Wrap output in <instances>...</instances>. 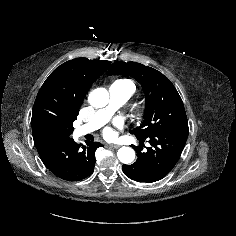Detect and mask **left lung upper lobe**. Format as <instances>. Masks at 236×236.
Here are the masks:
<instances>
[{
	"instance_id": "obj_1",
	"label": "left lung upper lobe",
	"mask_w": 236,
	"mask_h": 236,
	"mask_svg": "<svg viewBox=\"0 0 236 236\" xmlns=\"http://www.w3.org/2000/svg\"><path fill=\"white\" fill-rule=\"evenodd\" d=\"M108 75H129L143 87L146 97L144 120L139 127L130 131L137 139H147L159 132L188 124L176 88L156 69L137 62L117 61L110 67Z\"/></svg>"
}]
</instances>
